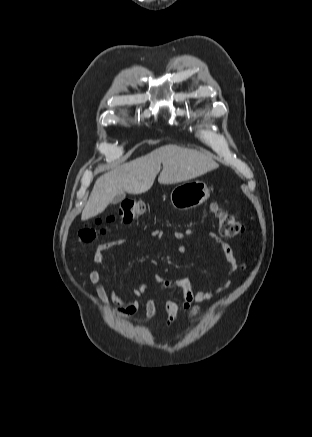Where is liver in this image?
<instances>
[{
    "label": "liver",
    "instance_id": "1",
    "mask_svg": "<svg viewBox=\"0 0 312 437\" xmlns=\"http://www.w3.org/2000/svg\"><path fill=\"white\" fill-rule=\"evenodd\" d=\"M161 163L160 184L185 182L219 167L203 152L172 144L162 146L97 178L81 219L85 221L102 213L118 194L147 192L160 172Z\"/></svg>",
    "mask_w": 312,
    "mask_h": 437
}]
</instances>
